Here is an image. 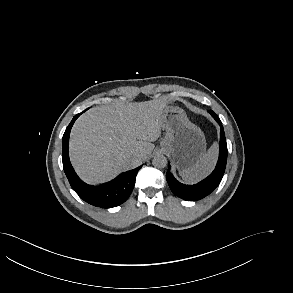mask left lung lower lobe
<instances>
[{"mask_svg":"<svg viewBox=\"0 0 293 293\" xmlns=\"http://www.w3.org/2000/svg\"><path fill=\"white\" fill-rule=\"evenodd\" d=\"M220 125V143H219V158L214 171L206 179L195 185H184L178 182L170 172V165L168 164V171L166 179L172 192L187 201H196L209 195L220 183L225 172L227 162V144L222 123L217 115L212 116Z\"/></svg>","mask_w":293,"mask_h":293,"instance_id":"left-lung-lower-lobe-1","label":"left lung lower lobe"}]
</instances>
